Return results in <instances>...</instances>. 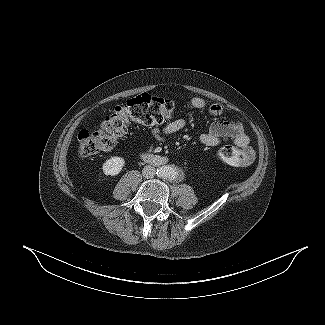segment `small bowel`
<instances>
[{
    "label": "small bowel",
    "mask_w": 325,
    "mask_h": 325,
    "mask_svg": "<svg viewBox=\"0 0 325 325\" xmlns=\"http://www.w3.org/2000/svg\"><path fill=\"white\" fill-rule=\"evenodd\" d=\"M188 107L198 110L206 109L214 116L223 114L224 108L219 103H207L204 99L194 97L187 103ZM187 126V120L178 118L167 123L162 129L155 128L152 133L156 140L164 141L166 136L177 133ZM226 140L242 148L248 157V164L254 159V151L250 147V138L242 124L236 120H221L212 122L207 132L199 135V141L206 146H218Z\"/></svg>",
    "instance_id": "c3829d8e"
}]
</instances>
